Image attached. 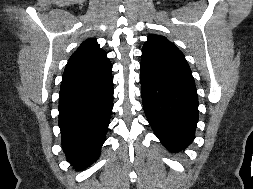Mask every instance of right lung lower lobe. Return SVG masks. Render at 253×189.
Listing matches in <instances>:
<instances>
[{"mask_svg": "<svg viewBox=\"0 0 253 189\" xmlns=\"http://www.w3.org/2000/svg\"><path fill=\"white\" fill-rule=\"evenodd\" d=\"M113 101L111 72L90 82L62 81L59 127L67 160L84 169L100 155L109 125Z\"/></svg>", "mask_w": 253, "mask_h": 189, "instance_id": "right-lung-lower-lobe-1", "label": "right lung lower lobe"}]
</instances>
